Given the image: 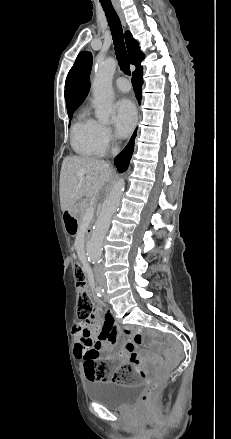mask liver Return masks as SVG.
I'll return each instance as SVG.
<instances>
[{
  "instance_id": "obj_1",
  "label": "liver",
  "mask_w": 231,
  "mask_h": 439,
  "mask_svg": "<svg viewBox=\"0 0 231 439\" xmlns=\"http://www.w3.org/2000/svg\"><path fill=\"white\" fill-rule=\"evenodd\" d=\"M81 174V175H79ZM113 176V169L104 161L71 156L63 160L60 172V203L62 211L82 197L98 194Z\"/></svg>"
}]
</instances>
